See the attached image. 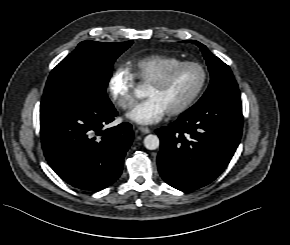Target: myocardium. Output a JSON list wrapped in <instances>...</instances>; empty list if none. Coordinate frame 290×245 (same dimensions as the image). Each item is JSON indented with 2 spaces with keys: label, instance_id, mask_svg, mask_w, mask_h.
<instances>
[{
  "label": "myocardium",
  "instance_id": "f54148a6",
  "mask_svg": "<svg viewBox=\"0 0 290 245\" xmlns=\"http://www.w3.org/2000/svg\"><path fill=\"white\" fill-rule=\"evenodd\" d=\"M183 67H197V68H199L202 72V81H201L199 87L196 89V91L191 95V97L186 102H184L179 107L167 112L168 115H170V116H177V115H180V114L186 112L199 99V97L204 92V90L207 86V82H208V73H207L206 68L198 62L182 61V62H179V63H176L172 66L167 67L166 69L161 71L159 74H157L153 79H151L147 83V85L161 86L169 79V77L171 76V74L173 72H175L178 69L183 68Z\"/></svg>",
  "mask_w": 290,
  "mask_h": 245
}]
</instances>
